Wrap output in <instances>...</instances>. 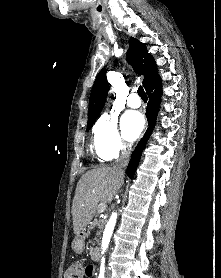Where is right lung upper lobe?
I'll use <instances>...</instances> for the list:
<instances>
[{
  "instance_id": "obj_1",
  "label": "right lung upper lobe",
  "mask_w": 221,
  "mask_h": 278,
  "mask_svg": "<svg viewBox=\"0 0 221 278\" xmlns=\"http://www.w3.org/2000/svg\"><path fill=\"white\" fill-rule=\"evenodd\" d=\"M128 58L133 63V68L139 75H144L143 86L146 88L155 78L157 74V66L151 54L147 52L144 43L139 42L135 38L129 41ZM109 84L106 78V69H102L94 82L90 99H89V116L88 123L94 124L99 116L104 103L106 101Z\"/></svg>"
}]
</instances>
